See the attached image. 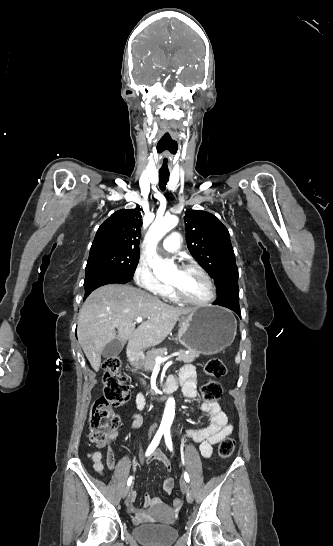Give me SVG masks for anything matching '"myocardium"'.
<instances>
[{
    "mask_svg": "<svg viewBox=\"0 0 333 546\" xmlns=\"http://www.w3.org/2000/svg\"><path fill=\"white\" fill-rule=\"evenodd\" d=\"M181 270H195L199 272L209 286L210 295L208 296V298L204 300H192L184 296L176 286L171 285L172 294L177 300L190 304V305H194V306H206L215 300L216 294H217L215 284L212 278L210 277V275L208 274V272L203 267L197 264H186L182 267Z\"/></svg>",
    "mask_w": 333,
    "mask_h": 546,
    "instance_id": "myocardium-1",
    "label": "myocardium"
}]
</instances>
